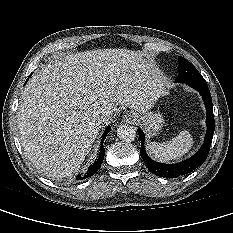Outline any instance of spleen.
I'll use <instances>...</instances> for the list:
<instances>
[{
    "label": "spleen",
    "mask_w": 233,
    "mask_h": 233,
    "mask_svg": "<svg viewBox=\"0 0 233 233\" xmlns=\"http://www.w3.org/2000/svg\"><path fill=\"white\" fill-rule=\"evenodd\" d=\"M193 146L192 135L181 131L176 137L167 142H150L146 145L149 155L160 162H168L183 157Z\"/></svg>",
    "instance_id": "1"
}]
</instances>
